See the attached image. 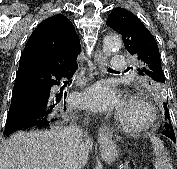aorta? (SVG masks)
Masks as SVG:
<instances>
[{"instance_id": "obj_1", "label": "aorta", "mask_w": 177, "mask_h": 169, "mask_svg": "<svg viewBox=\"0 0 177 169\" xmlns=\"http://www.w3.org/2000/svg\"><path fill=\"white\" fill-rule=\"evenodd\" d=\"M122 45V41L119 36L109 35L104 38L103 41V51L107 55L112 54L114 51L118 50Z\"/></svg>"}]
</instances>
